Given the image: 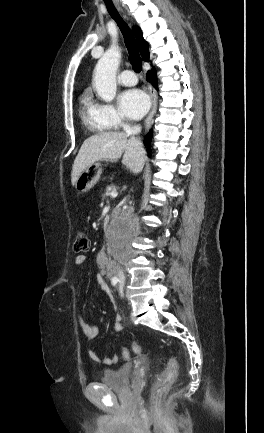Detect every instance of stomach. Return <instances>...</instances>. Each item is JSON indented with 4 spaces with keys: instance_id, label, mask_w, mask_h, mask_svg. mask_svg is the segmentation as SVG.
Instances as JSON below:
<instances>
[{
    "instance_id": "0dacf381",
    "label": "stomach",
    "mask_w": 264,
    "mask_h": 433,
    "mask_svg": "<svg viewBox=\"0 0 264 433\" xmlns=\"http://www.w3.org/2000/svg\"><path fill=\"white\" fill-rule=\"evenodd\" d=\"M102 168L99 162H94L88 166L78 177L75 188L79 193L89 191L100 179Z\"/></svg>"
}]
</instances>
